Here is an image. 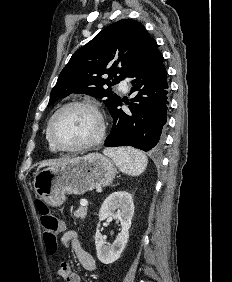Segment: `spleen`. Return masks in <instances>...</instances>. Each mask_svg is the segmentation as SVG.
Segmentation results:
<instances>
[{"label":"spleen","mask_w":232,"mask_h":282,"mask_svg":"<svg viewBox=\"0 0 232 282\" xmlns=\"http://www.w3.org/2000/svg\"><path fill=\"white\" fill-rule=\"evenodd\" d=\"M103 153L112 158L122 172L132 176L140 175L148 163L143 152L131 147L108 148Z\"/></svg>","instance_id":"1"}]
</instances>
